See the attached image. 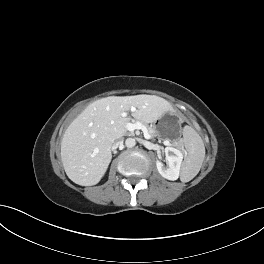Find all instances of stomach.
I'll use <instances>...</instances> for the list:
<instances>
[{
    "label": "stomach",
    "instance_id": "1",
    "mask_svg": "<svg viewBox=\"0 0 264 264\" xmlns=\"http://www.w3.org/2000/svg\"><path fill=\"white\" fill-rule=\"evenodd\" d=\"M180 120L175 114L167 112L163 118L158 121L156 131L158 137L177 140L181 137L182 132L179 127Z\"/></svg>",
    "mask_w": 264,
    "mask_h": 264
}]
</instances>
